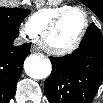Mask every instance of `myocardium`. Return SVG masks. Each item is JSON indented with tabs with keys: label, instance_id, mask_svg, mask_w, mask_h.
Here are the masks:
<instances>
[{
	"label": "myocardium",
	"instance_id": "myocardium-1",
	"mask_svg": "<svg viewBox=\"0 0 103 103\" xmlns=\"http://www.w3.org/2000/svg\"><path fill=\"white\" fill-rule=\"evenodd\" d=\"M73 12H81L84 16V27L82 32L80 33L79 37L75 40L73 44H71L68 47L57 49V48H52L47 44V39L49 35L57 28V26L60 24V22L67 17L69 14ZM89 29V16L87 12L81 8V7H70L66 9L65 11L61 12L58 14L54 19L50 21V23L44 28L42 33L40 34L39 42L40 46L48 53L56 56H64L68 55L75 50L79 48L81 43L83 42L87 31Z\"/></svg>",
	"mask_w": 103,
	"mask_h": 103
}]
</instances>
